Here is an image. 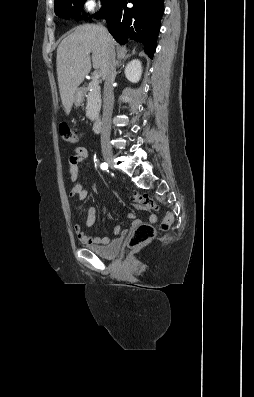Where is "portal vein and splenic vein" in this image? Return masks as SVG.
<instances>
[{"label": "portal vein and splenic vein", "mask_w": 254, "mask_h": 397, "mask_svg": "<svg viewBox=\"0 0 254 397\" xmlns=\"http://www.w3.org/2000/svg\"><path fill=\"white\" fill-rule=\"evenodd\" d=\"M101 73L99 71H94L93 73V79L94 81L97 80L98 78H100Z\"/></svg>", "instance_id": "18ae733b"}]
</instances>
